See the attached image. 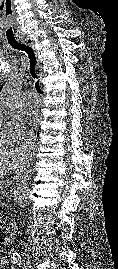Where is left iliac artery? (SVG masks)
Masks as SVG:
<instances>
[{
    "label": "left iliac artery",
    "instance_id": "obj_1",
    "mask_svg": "<svg viewBox=\"0 0 118 269\" xmlns=\"http://www.w3.org/2000/svg\"><path fill=\"white\" fill-rule=\"evenodd\" d=\"M13 263L16 265H21V256L18 253H14L12 256Z\"/></svg>",
    "mask_w": 118,
    "mask_h": 269
}]
</instances>
